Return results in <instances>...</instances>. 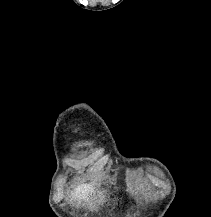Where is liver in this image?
Instances as JSON below:
<instances>
[{
  "label": "liver",
  "mask_w": 211,
  "mask_h": 217,
  "mask_svg": "<svg viewBox=\"0 0 211 217\" xmlns=\"http://www.w3.org/2000/svg\"><path fill=\"white\" fill-rule=\"evenodd\" d=\"M95 193V187L92 184H82L77 186L71 193V200L74 201H89L90 195Z\"/></svg>",
  "instance_id": "obj_1"
}]
</instances>
